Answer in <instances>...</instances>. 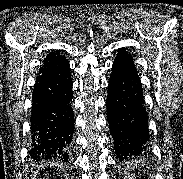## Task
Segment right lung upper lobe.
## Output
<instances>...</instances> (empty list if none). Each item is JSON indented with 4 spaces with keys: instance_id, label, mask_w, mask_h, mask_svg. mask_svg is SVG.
<instances>
[{
    "instance_id": "cb5924a9",
    "label": "right lung upper lobe",
    "mask_w": 183,
    "mask_h": 179,
    "mask_svg": "<svg viewBox=\"0 0 183 179\" xmlns=\"http://www.w3.org/2000/svg\"><path fill=\"white\" fill-rule=\"evenodd\" d=\"M66 64H68V61L64 55H60V51H55L47 55L43 61L42 67H56L64 66Z\"/></svg>"
}]
</instances>
